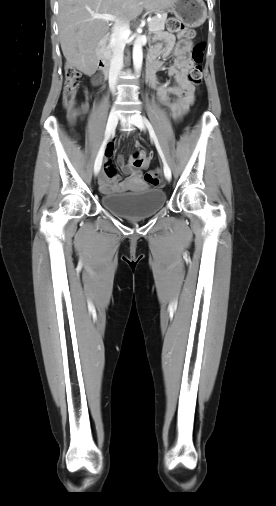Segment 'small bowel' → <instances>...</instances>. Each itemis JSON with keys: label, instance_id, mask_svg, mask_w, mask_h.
<instances>
[{"label": "small bowel", "instance_id": "c3829d8e", "mask_svg": "<svg viewBox=\"0 0 276 506\" xmlns=\"http://www.w3.org/2000/svg\"><path fill=\"white\" fill-rule=\"evenodd\" d=\"M186 31L188 34L185 36L179 34L177 44H175L174 36L169 34L161 35L162 41L152 45L148 52L147 83L157 90L158 99L168 104L170 114L174 120H179L194 100V86L187 78V71L191 67V61L188 58V39L191 37V31ZM170 55H173L175 60L173 65L168 68V75L175 79V85L160 82L156 77V72L164 67L159 57H169ZM92 84L96 87L99 86L101 84V77L94 74ZM88 108L89 104L84 102L80 105L79 111L85 112ZM134 145L136 148H139L138 142H135ZM113 151L114 143L111 142L105 152L106 160L99 179L100 190L107 193L124 191L138 184L141 180V169L148 168L153 158L152 154L141 150L134 154L128 163H125L124 157L119 155L117 158L118 166L127 175V178L122 181L111 163Z\"/></svg>", "mask_w": 276, "mask_h": 506}]
</instances>
